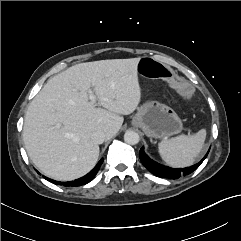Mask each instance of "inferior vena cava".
Instances as JSON below:
<instances>
[{"label":"inferior vena cava","mask_w":241,"mask_h":241,"mask_svg":"<svg viewBox=\"0 0 241 241\" xmlns=\"http://www.w3.org/2000/svg\"><path fill=\"white\" fill-rule=\"evenodd\" d=\"M106 138V135L103 131L97 130L92 133L91 139L95 144H102Z\"/></svg>","instance_id":"1"}]
</instances>
